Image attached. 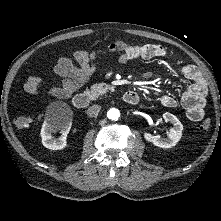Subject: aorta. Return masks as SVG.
Wrapping results in <instances>:
<instances>
[{
    "mask_svg": "<svg viewBox=\"0 0 221 221\" xmlns=\"http://www.w3.org/2000/svg\"><path fill=\"white\" fill-rule=\"evenodd\" d=\"M107 116L109 119L118 120L120 117V112L118 109L112 108L108 111Z\"/></svg>",
    "mask_w": 221,
    "mask_h": 221,
    "instance_id": "aorta-1",
    "label": "aorta"
}]
</instances>
